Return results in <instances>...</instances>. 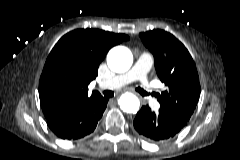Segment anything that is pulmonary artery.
Returning a JSON list of instances; mask_svg holds the SVG:
<instances>
[{"label": "pulmonary artery", "instance_id": "1", "mask_svg": "<svg viewBox=\"0 0 240 160\" xmlns=\"http://www.w3.org/2000/svg\"><path fill=\"white\" fill-rule=\"evenodd\" d=\"M153 66V57L149 53H142L135 61L133 67L126 73L118 75L105 83L106 86L120 87L133 81L141 82L144 90L151 92L153 87L148 81V72ZM149 99L154 107H158V102L153 95Z\"/></svg>", "mask_w": 240, "mask_h": 160}]
</instances>
